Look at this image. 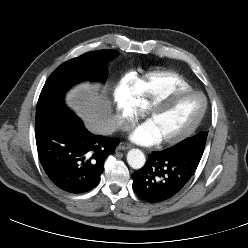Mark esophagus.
Here are the masks:
<instances>
[{
	"mask_svg": "<svg viewBox=\"0 0 248 248\" xmlns=\"http://www.w3.org/2000/svg\"><path fill=\"white\" fill-rule=\"evenodd\" d=\"M130 147H131L130 144L121 142V143H119V145L117 146V149H118V150H127V149H129Z\"/></svg>",
	"mask_w": 248,
	"mask_h": 248,
	"instance_id": "34e87169",
	"label": "esophagus"
}]
</instances>
